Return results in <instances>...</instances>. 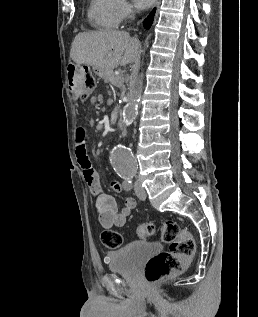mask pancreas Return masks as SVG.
I'll use <instances>...</instances> for the list:
<instances>
[{
    "label": "pancreas",
    "mask_w": 258,
    "mask_h": 317,
    "mask_svg": "<svg viewBox=\"0 0 258 317\" xmlns=\"http://www.w3.org/2000/svg\"><path fill=\"white\" fill-rule=\"evenodd\" d=\"M109 82L113 84V86H116V90L118 91L121 89V78L120 77H111L109 79Z\"/></svg>",
    "instance_id": "cf45deb5"
}]
</instances>
